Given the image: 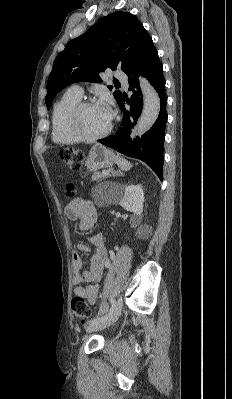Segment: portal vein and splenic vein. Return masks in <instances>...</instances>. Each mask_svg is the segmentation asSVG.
<instances>
[{
  "label": "portal vein and splenic vein",
  "mask_w": 232,
  "mask_h": 399,
  "mask_svg": "<svg viewBox=\"0 0 232 399\" xmlns=\"http://www.w3.org/2000/svg\"><path fill=\"white\" fill-rule=\"evenodd\" d=\"M102 174H105V176H107L108 172H106V170H103Z\"/></svg>",
  "instance_id": "1"
}]
</instances>
